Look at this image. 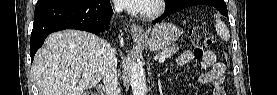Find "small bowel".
<instances>
[{
  "mask_svg": "<svg viewBox=\"0 0 277 95\" xmlns=\"http://www.w3.org/2000/svg\"><path fill=\"white\" fill-rule=\"evenodd\" d=\"M194 59L190 51L183 52L177 59L179 65L183 66ZM195 59L199 62L200 67L204 70L199 80L202 84H212L215 86L214 95H224L222 88L223 68L216 61V56L211 50H207Z\"/></svg>",
  "mask_w": 277,
  "mask_h": 95,
  "instance_id": "c3829d8e",
  "label": "small bowel"
}]
</instances>
